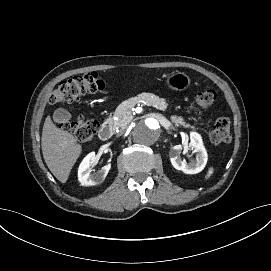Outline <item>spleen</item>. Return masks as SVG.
Returning a JSON list of instances; mask_svg holds the SVG:
<instances>
[{
  "mask_svg": "<svg viewBox=\"0 0 271 271\" xmlns=\"http://www.w3.org/2000/svg\"><path fill=\"white\" fill-rule=\"evenodd\" d=\"M213 171H214V169L212 168V167H210L209 169H208V173H207V175H206V179H208L212 174H213Z\"/></svg>",
  "mask_w": 271,
  "mask_h": 271,
  "instance_id": "1",
  "label": "spleen"
}]
</instances>
